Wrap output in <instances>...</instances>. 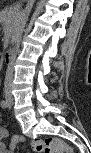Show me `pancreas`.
<instances>
[{"label": "pancreas", "mask_w": 91, "mask_h": 153, "mask_svg": "<svg viewBox=\"0 0 91 153\" xmlns=\"http://www.w3.org/2000/svg\"><path fill=\"white\" fill-rule=\"evenodd\" d=\"M1 21L5 24L11 37L16 36L20 24V12L17 7L11 6L1 11ZM15 38V37H14Z\"/></svg>", "instance_id": "pancreas-1"}]
</instances>
